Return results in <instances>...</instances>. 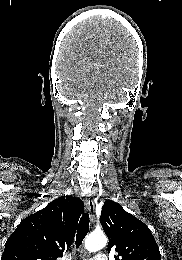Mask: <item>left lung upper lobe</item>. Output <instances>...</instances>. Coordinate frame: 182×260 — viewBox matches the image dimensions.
Instances as JSON below:
<instances>
[{"mask_svg": "<svg viewBox=\"0 0 182 260\" xmlns=\"http://www.w3.org/2000/svg\"><path fill=\"white\" fill-rule=\"evenodd\" d=\"M100 222L108 236V252L115 250V260H161L159 247L145 223L112 200L102 206Z\"/></svg>", "mask_w": 182, "mask_h": 260, "instance_id": "1", "label": "left lung upper lobe"}]
</instances>
